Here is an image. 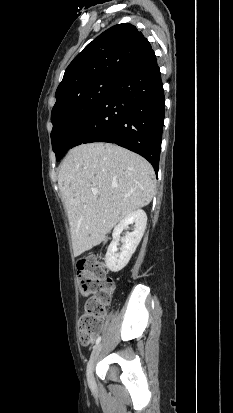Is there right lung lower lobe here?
Listing matches in <instances>:
<instances>
[{
    "mask_svg": "<svg viewBox=\"0 0 233 413\" xmlns=\"http://www.w3.org/2000/svg\"><path fill=\"white\" fill-rule=\"evenodd\" d=\"M164 112L160 69L151 49L116 77L70 148L115 143L146 158L158 173Z\"/></svg>",
    "mask_w": 233,
    "mask_h": 413,
    "instance_id": "1",
    "label": "right lung lower lobe"
}]
</instances>
